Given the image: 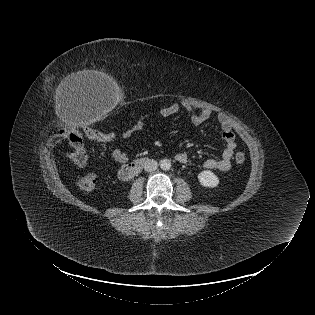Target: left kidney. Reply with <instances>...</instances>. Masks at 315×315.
<instances>
[{
  "label": "left kidney",
  "mask_w": 315,
  "mask_h": 315,
  "mask_svg": "<svg viewBox=\"0 0 315 315\" xmlns=\"http://www.w3.org/2000/svg\"><path fill=\"white\" fill-rule=\"evenodd\" d=\"M198 180L204 187H216L219 184L218 177L210 170H204L198 174Z\"/></svg>",
  "instance_id": "1"
}]
</instances>
